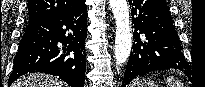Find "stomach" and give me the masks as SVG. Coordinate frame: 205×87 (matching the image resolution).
<instances>
[{
  "instance_id": "obj_1",
  "label": "stomach",
  "mask_w": 205,
  "mask_h": 87,
  "mask_svg": "<svg viewBox=\"0 0 205 87\" xmlns=\"http://www.w3.org/2000/svg\"><path fill=\"white\" fill-rule=\"evenodd\" d=\"M137 85H138V87H143V86L144 87H147V86L153 87L154 82L153 81H148V82L145 81L144 83L140 82Z\"/></svg>"
}]
</instances>
